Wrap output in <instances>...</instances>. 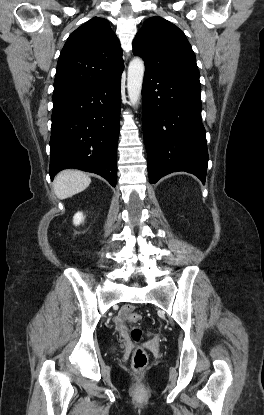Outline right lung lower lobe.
Segmentation results:
<instances>
[{
  "instance_id": "right-lung-lower-lobe-1",
  "label": "right lung lower lobe",
  "mask_w": 264,
  "mask_h": 415,
  "mask_svg": "<svg viewBox=\"0 0 264 415\" xmlns=\"http://www.w3.org/2000/svg\"><path fill=\"white\" fill-rule=\"evenodd\" d=\"M51 179L63 169L99 174L115 187L121 74L114 79L53 95Z\"/></svg>"
}]
</instances>
